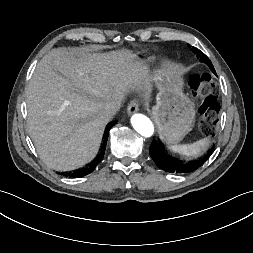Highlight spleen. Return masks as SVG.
<instances>
[{
  "mask_svg": "<svg viewBox=\"0 0 253 253\" xmlns=\"http://www.w3.org/2000/svg\"><path fill=\"white\" fill-rule=\"evenodd\" d=\"M209 145V139L203 138L199 141H196L192 144L185 145H171L168 146L170 150L175 153H179L184 156H196L202 151H204Z\"/></svg>",
  "mask_w": 253,
  "mask_h": 253,
  "instance_id": "obj_1",
  "label": "spleen"
}]
</instances>
